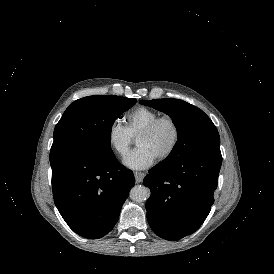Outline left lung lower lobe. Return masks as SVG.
I'll list each match as a JSON object with an SVG mask.
<instances>
[{
    "label": "left lung lower lobe",
    "instance_id": "left-lung-lower-lobe-1",
    "mask_svg": "<svg viewBox=\"0 0 274 274\" xmlns=\"http://www.w3.org/2000/svg\"><path fill=\"white\" fill-rule=\"evenodd\" d=\"M221 163V152L208 151L149 171L144 178L151 190L147 219L158 236L175 241L202 225L214 202Z\"/></svg>",
    "mask_w": 274,
    "mask_h": 274
}]
</instances>
